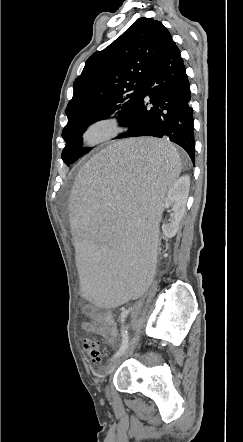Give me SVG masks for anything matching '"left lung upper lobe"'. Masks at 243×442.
<instances>
[{"label":"left lung upper lobe","instance_id":"5c2ea615","mask_svg":"<svg viewBox=\"0 0 243 442\" xmlns=\"http://www.w3.org/2000/svg\"><path fill=\"white\" fill-rule=\"evenodd\" d=\"M169 36L161 22L139 18L107 48L88 58L66 108L62 159L68 166L91 150L81 148L82 133L89 125L113 113L119 114L123 125L136 112L146 75Z\"/></svg>","mask_w":243,"mask_h":442}]
</instances>
